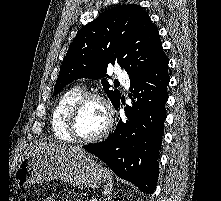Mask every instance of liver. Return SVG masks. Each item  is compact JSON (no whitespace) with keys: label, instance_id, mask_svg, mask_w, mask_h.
<instances>
[{"label":"liver","instance_id":"liver-1","mask_svg":"<svg viewBox=\"0 0 221 201\" xmlns=\"http://www.w3.org/2000/svg\"><path fill=\"white\" fill-rule=\"evenodd\" d=\"M34 152H46L51 154H69V153H82L84 152L79 147H69L67 145L55 144V143H41L34 146L31 150V154Z\"/></svg>","mask_w":221,"mask_h":201}]
</instances>
